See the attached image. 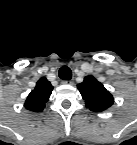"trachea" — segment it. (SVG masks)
<instances>
[{
	"label": "trachea",
	"mask_w": 137,
	"mask_h": 145,
	"mask_svg": "<svg viewBox=\"0 0 137 145\" xmlns=\"http://www.w3.org/2000/svg\"><path fill=\"white\" fill-rule=\"evenodd\" d=\"M58 75L63 80H70L72 78V71L69 67L63 66L60 68Z\"/></svg>",
	"instance_id": "1"
}]
</instances>
